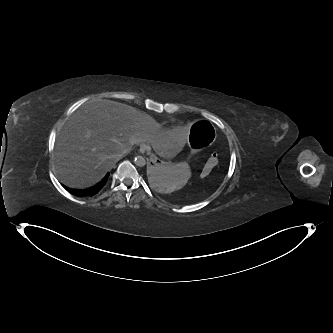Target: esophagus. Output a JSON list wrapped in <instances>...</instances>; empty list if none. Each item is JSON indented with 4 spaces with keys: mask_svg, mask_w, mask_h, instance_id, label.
I'll return each mask as SVG.
<instances>
[{
    "mask_svg": "<svg viewBox=\"0 0 333 333\" xmlns=\"http://www.w3.org/2000/svg\"><path fill=\"white\" fill-rule=\"evenodd\" d=\"M148 150V146L146 144H141L140 145V153L144 154Z\"/></svg>",
    "mask_w": 333,
    "mask_h": 333,
    "instance_id": "34e87169",
    "label": "esophagus"
}]
</instances>
